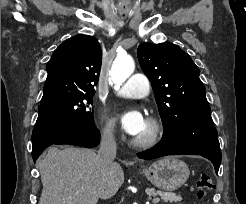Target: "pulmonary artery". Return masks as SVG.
<instances>
[{"label": "pulmonary artery", "instance_id": "obj_1", "mask_svg": "<svg viewBox=\"0 0 246 204\" xmlns=\"http://www.w3.org/2000/svg\"><path fill=\"white\" fill-rule=\"evenodd\" d=\"M149 90L148 78L143 74H134L117 90V94L126 98H141L148 95Z\"/></svg>", "mask_w": 246, "mask_h": 204}]
</instances>
